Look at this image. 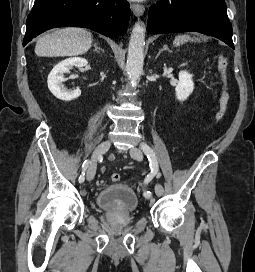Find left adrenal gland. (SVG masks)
I'll list each match as a JSON object with an SVG mask.
<instances>
[{
  "mask_svg": "<svg viewBox=\"0 0 255 272\" xmlns=\"http://www.w3.org/2000/svg\"><path fill=\"white\" fill-rule=\"evenodd\" d=\"M163 51H168L170 52V50L168 49L167 45H163L162 49L159 51V53L156 56V59L159 57V55L161 54V52Z\"/></svg>",
  "mask_w": 255,
  "mask_h": 272,
  "instance_id": "1",
  "label": "left adrenal gland"
}]
</instances>
